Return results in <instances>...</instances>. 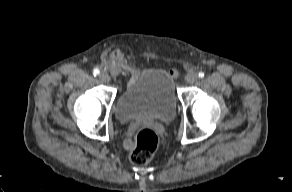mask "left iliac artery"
I'll list each match as a JSON object with an SVG mask.
<instances>
[{
    "label": "left iliac artery",
    "instance_id": "left-iliac-artery-1",
    "mask_svg": "<svg viewBox=\"0 0 292 192\" xmlns=\"http://www.w3.org/2000/svg\"><path fill=\"white\" fill-rule=\"evenodd\" d=\"M198 77L199 78H203L204 77V73L203 72H199Z\"/></svg>",
    "mask_w": 292,
    "mask_h": 192
}]
</instances>
